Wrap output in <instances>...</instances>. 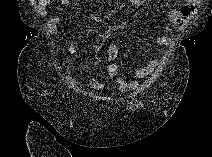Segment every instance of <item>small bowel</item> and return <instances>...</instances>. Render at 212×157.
<instances>
[{"label":"small bowel","instance_id":"obj_1","mask_svg":"<svg viewBox=\"0 0 212 157\" xmlns=\"http://www.w3.org/2000/svg\"><path fill=\"white\" fill-rule=\"evenodd\" d=\"M54 0H41L38 3V13L41 17H46L47 7L54 4ZM63 6H68L70 0H60ZM196 11V3L194 1H187L181 7L172 9L167 14V22L165 24L166 35L155 39L154 44L156 46H167L173 41L174 31H178L184 27L187 21L194 15ZM94 20L100 24H104L105 21L99 17L94 16ZM62 24L61 19L58 16H52L49 18L47 27L50 33L55 34L58 27ZM67 32L70 35L69 40V50L70 52L78 58L83 57L82 51L77 47L76 39L78 37V31L72 28H67ZM118 50L115 43H111L107 55V75L110 79H114V88L117 90H126L135 88L138 86L137 80L145 79L153 74L158 67L163 63L165 57H155L148 61L146 65L139 66L134 70L133 80H127L119 77L120 66L115 62ZM81 80L86 81L88 86L93 90H102L105 88V84L101 81L95 80L87 76H81Z\"/></svg>","mask_w":212,"mask_h":157}]
</instances>
